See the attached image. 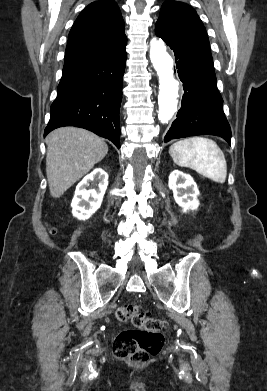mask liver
<instances>
[{"instance_id": "liver-1", "label": "liver", "mask_w": 267, "mask_h": 391, "mask_svg": "<svg viewBox=\"0 0 267 391\" xmlns=\"http://www.w3.org/2000/svg\"><path fill=\"white\" fill-rule=\"evenodd\" d=\"M46 143V174L53 198L63 195L108 152V146L102 138L75 127L52 131Z\"/></svg>"}]
</instances>
